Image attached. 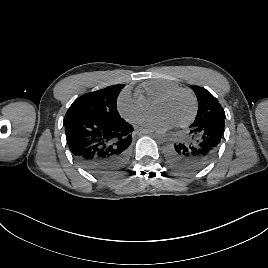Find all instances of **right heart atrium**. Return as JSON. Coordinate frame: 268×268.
<instances>
[{"instance_id":"d8ad5b80","label":"right heart atrium","mask_w":268,"mask_h":268,"mask_svg":"<svg viewBox=\"0 0 268 268\" xmlns=\"http://www.w3.org/2000/svg\"><path fill=\"white\" fill-rule=\"evenodd\" d=\"M117 109L126 120L133 123L144 121L151 114V107L129 90L120 93L117 99Z\"/></svg>"}]
</instances>
